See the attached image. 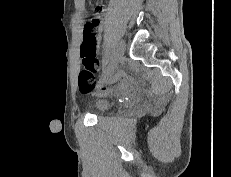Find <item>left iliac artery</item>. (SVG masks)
I'll list each match as a JSON object with an SVG mask.
<instances>
[{
    "mask_svg": "<svg viewBox=\"0 0 231 177\" xmlns=\"http://www.w3.org/2000/svg\"><path fill=\"white\" fill-rule=\"evenodd\" d=\"M107 47L104 49V62L102 63V66L103 67H108L109 66V63L111 62V55H112V52H111V45H112V42L111 41H108L107 42Z\"/></svg>",
    "mask_w": 231,
    "mask_h": 177,
    "instance_id": "obj_1",
    "label": "left iliac artery"
}]
</instances>
